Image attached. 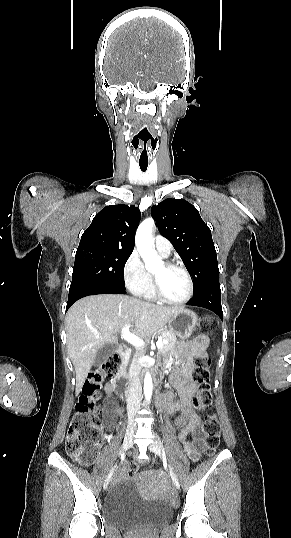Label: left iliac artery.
<instances>
[{
  "mask_svg": "<svg viewBox=\"0 0 291 538\" xmlns=\"http://www.w3.org/2000/svg\"><path fill=\"white\" fill-rule=\"evenodd\" d=\"M158 441H159L160 444H162V443H161V440L159 439V437H158Z\"/></svg>",
  "mask_w": 291,
  "mask_h": 538,
  "instance_id": "obj_1",
  "label": "left iliac artery"
}]
</instances>
